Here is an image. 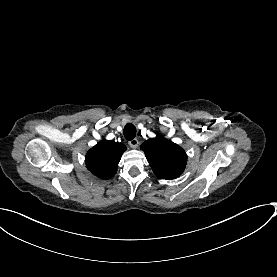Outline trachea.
I'll return each instance as SVG.
<instances>
[{
	"label": "trachea",
	"mask_w": 277,
	"mask_h": 277,
	"mask_svg": "<svg viewBox=\"0 0 277 277\" xmlns=\"http://www.w3.org/2000/svg\"><path fill=\"white\" fill-rule=\"evenodd\" d=\"M123 134L126 140H133L136 136V127L129 123L124 127Z\"/></svg>",
	"instance_id": "obj_1"
}]
</instances>
